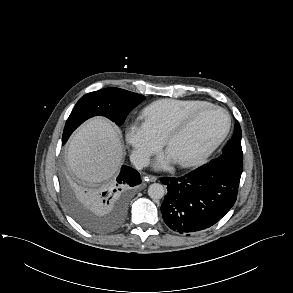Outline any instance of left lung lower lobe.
Instances as JSON below:
<instances>
[{
    "label": "left lung lower lobe",
    "mask_w": 293,
    "mask_h": 293,
    "mask_svg": "<svg viewBox=\"0 0 293 293\" xmlns=\"http://www.w3.org/2000/svg\"><path fill=\"white\" fill-rule=\"evenodd\" d=\"M240 173L208 163L184 177H163L168 193L161 205L168 227L192 234L217 223L234 205Z\"/></svg>",
    "instance_id": "left-lung-lower-lobe-1"
}]
</instances>
